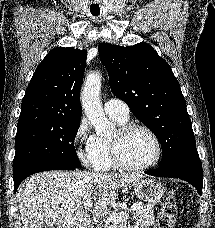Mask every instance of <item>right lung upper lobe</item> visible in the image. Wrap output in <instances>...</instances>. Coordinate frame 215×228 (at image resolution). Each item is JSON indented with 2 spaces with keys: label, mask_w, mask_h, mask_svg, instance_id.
<instances>
[{
  "label": "right lung upper lobe",
  "mask_w": 215,
  "mask_h": 228,
  "mask_svg": "<svg viewBox=\"0 0 215 228\" xmlns=\"http://www.w3.org/2000/svg\"><path fill=\"white\" fill-rule=\"evenodd\" d=\"M86 50L57 47L36 68L21 105L18 127L80 120Z\"/></svg>",
  "instance_id": "right-lung-upper-lobe-1"
}]
</instances>
